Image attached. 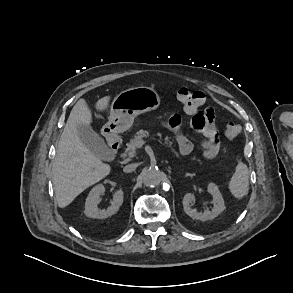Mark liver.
Wrapping results in <instances>:
<instances>
[{"mask_svg": "<svg viewBox=\"0 0 293 293\" xmlns=\"http://www.w3.org/2000/svg\"><path fill=\"white\" fill-rule=\"evenodd\" d=\"M110 96L99 99L96 109H107ZM92 113L86 101L80 99L73 107L58 143L52 165L53 184L60 208L68 206L80 193L99 182L111 172L80 140L78 125H90Z\"/></svg>", "mask_w": 293, "mask_h": 293, "instance_id": "obj_1", "label": "liver"}]
</instances>
